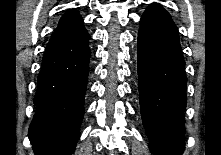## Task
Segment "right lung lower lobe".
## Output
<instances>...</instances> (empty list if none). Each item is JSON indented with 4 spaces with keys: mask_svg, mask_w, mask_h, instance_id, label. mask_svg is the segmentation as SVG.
I'll return each mask as SVG.
<instances>
[{
    "mask_svg": "<svg viewBox=\"0 0 221 155\" xmlns=\"http://www.w3.org/2000/svg\"><path fill=\"white\" fill-rule=\"evenodd\" d=\"M90 35L83 22L56 29L47 44L29 127L35 155H72L84 115Z\"/></svg>",
    "mask_w": 221,
    "mask_h": 155,
    "instance_id": "obj_1",
    "label": "right lung lower lobe"
}]
</instances>
